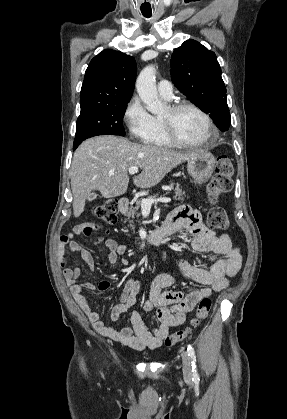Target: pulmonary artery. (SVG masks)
I'll return each mask as SVG.
<instances>
[{
	"label": "pulmonary artery",
	"mask_w": 287,
	"mask_h": 419,
	"mask_svg": "<svg viewBox=\"0 0 287 419\" xmlns=\"http://www.w3.org/2000/svg\"><path fill=\"white\" fill-rule=\"evenodd\" d=\"M158 92L162 97L171 99L173 96L172 84L167 80H161L158 83Z\"/></svg>",
	"instance_id": "e3ab8cb5"
}]
</instances>
